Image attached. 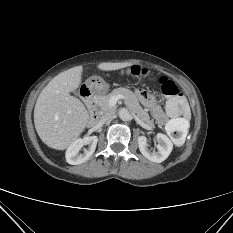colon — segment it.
Here are the masks:
<instances>
[{"instance_id":"1","label":"colon","mask_w":233,"mask_h":233,"mask_svg":"<svg viewBox=\"0 0 233 233\" xmlns=\"http://www.w3.org/2000/svg\"><path fill=\"white\" fill-rule=\"evenodd\" d=\"M126 73L135 78H142L148 75L145 69L137 66L130 67ZM159 84L162 94L167 99L166 110L171 117L167 124V132L174 142L182 144L187 135L188 103L176 84L167 77H161Z\"/></svg>"}]
</instances>
